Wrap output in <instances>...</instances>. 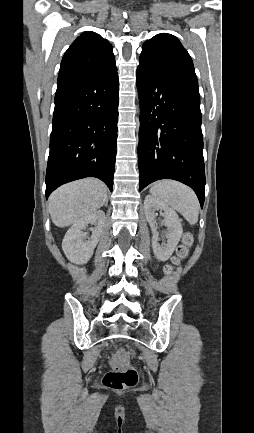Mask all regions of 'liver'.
I'll use <instances>...</instances> for the list:
<instances>
[{"label": "liver", "mask_w": 254, "mask_h": 433, "mask_svg": "<svg viewBox=\"0 0 254 433\" xmlns=\"http://www.w3.org/2000/svg\"><path fill=\"white\" fill-rule=\"evenodd\" d=\"M106 200V186L98 179L87 178L63 185L49 198L52 222L58 227L69 226L95 212Z\"/></svg>", "instance_id": "liver-1"}]
</instances>
